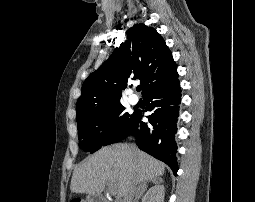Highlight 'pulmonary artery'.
Masks as SVG:
<instances>
[{
	"instance_id": "e3ab8cb5",
	"label": "pulmonary artery",
	"mask_w": 255,
	"mask_h": 202,
	"mask_svg": "<svg viewBox=\"0 0 255 202\" xmlns=\"http://www.w3.org/2000/svg\"><path fill=\"white\" fill-rule=\"evenodd\" d=\"M129 102H130L131 104H136V103L138 102V97H137L136 95H134V94H131V95L129 96Z\"/></svg>"
}]
</instances>
